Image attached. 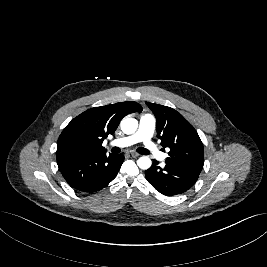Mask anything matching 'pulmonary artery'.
<instances>
[{
    "label": "pulmonary artery",
    "instance_id": "pulmonary-artery-1",
    "mask_svg": "<svg viewBox=\"0 0 267 267\" xmlns=\"http://www.w3.org/2000/svg\"><path fill=\"white\" fill-rule=\"evenodd\" d=\"M156 126L155 117L151 114H144L140 117L139 126L135 133L111 141V146L128 147L136 143H143L145 148L156 158L165 159V155L160 153L151 138Z\"/></svg>",
    "mask_w": 267,
    "mask_h": 267
}]
</instances>
